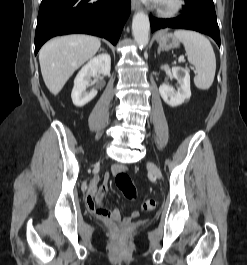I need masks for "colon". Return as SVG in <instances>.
Segmentation results:
<instances>
[{"label": "colon", "instance_id": "colon-1", "mask_svg": "<svg viewBox=\"0 0 247 265\" xmlns=\"http://www.w3.org/2000/svg\"><path fill=\"white\" fill-rule=\"evenodd\" d=\"M115 183L118 189L123 193L128 200H134L137 198V189L126 172H118L115 178ZM156 200L147 199L143 203V209L145 211H152L156 208Z\"/></svg>", "mask_w": 247, "mask_h": 265}]
</instances>
